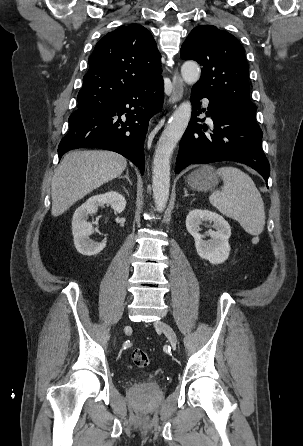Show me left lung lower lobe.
Returning a JSON list of instances; mask_svg holds the SVG:
<instances>
[{
	"instance_id": "0a47b994",
	"label": "left lung lower lobe",
	"mask_w": 303,
	"mask_h": 446,
	"mask_svg": "<svg viewBox=\"0 0 303 446\" xmlns=\"http://www.w3.org/2000/svg\"><path fill=\"white\" fill-rule=\"evenodd\" d=\"M209 99L206 115L214 127L198 124L200 99ZM192 119L180 142L175 172L179 173L190 164H206L217 161H236L255 169L265 181L270 174L269 162L262 150V131L256 121L235 107L228 100L208 94L193 87L191 94Z\"/></svg>"
}]
</instances>
